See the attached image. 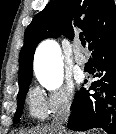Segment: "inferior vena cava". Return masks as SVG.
Returning a JSON list of instances; mask_svg holds the SVG:
<instances>
[{
  "label": "inferior vena cava",
  "mask_w": 116,
  "mask_h": 134,
  "mask_svg": "<svg viewBox=\"0 0 116 134\" xmlns=\"http://www.w3.org/2000/svg\"><path fill=\"white\" fill-rule=\"evenodd\" d=\"M69 114L70 108L69 106H67L66 108L58 112L57 116L55 117L53 127L58 134H64L65 129L63 124L67 121Z\"/></svg>",
  "instance_id": "1"
}]
</instances>
